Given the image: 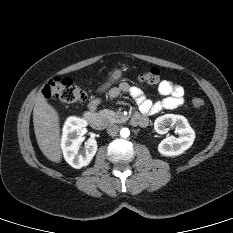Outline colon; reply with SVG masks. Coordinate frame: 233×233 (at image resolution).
Returning <instances> with one entry per match:
<instances>
[{
    "label": "colon",
    "mask_w": 233,
    "mask_h": 233,
    "mask_svg": "<svg viewBox=\"0 0 233 233\" xmlns=\"http://www.w3.org/2000/svg\"><path fill=\"white\" fill-rule=\"evenodd\" d=\"M138 79L149 85L158 84L161 81L160 71L155 67L146 68L139 73ZM43 95L47 99L73 103L85 101L88 97V91L75 84L71 79L54 78L44 86ZM192 105L195 108H202L204 101L201 98H195Z\"/></svg>",
    "instance_id": "obj_1"
}]
</instances>
